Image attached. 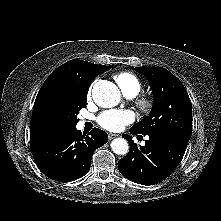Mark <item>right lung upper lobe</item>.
I'll return each instance as SVG.
<instances>
[{
	"label": "right lung upper lobe",
	"instance_id": "right-lung-upper-lobe-1",
	"mask_svg": "<svg viewBox=\"0 0 221 221\" xmlns=\"http://www.w3.org/2000/svg\"><path fill=\"white\" fill-rule=\"evenodd\" d=\"M113 66L74 59L54 70L37 94L30 123V141L53 133L47 124V110L57 97L87 96L92 80Z\"/></svg>",
	"mask_w": 221,
	"mask_h": 221
}]
</instances>
